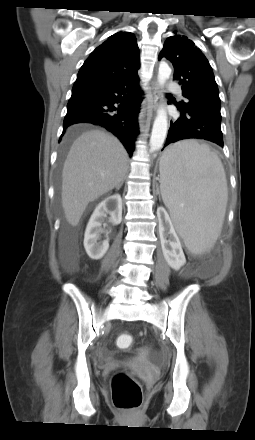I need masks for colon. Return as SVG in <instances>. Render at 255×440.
<instances>
[{
	"mask_svg": "<svg viewBox=\"0 0 255 440\" xmlns=\"http://www.w3.org/2000/svg\"><path fill=\"white\" fill-rule=\"evenodd\" d=\"M117 346L128 349L133 346V337L128 333L117 336ZM112 400L118 409L135 411L142 404V389L140 384L125 372L116 373L111 382Z\"/></svg>",
	"mask_w": 255,
	"mask_h": 440,
	"instance_id": "5ec220e1",
	"label": "colon"
}]
</instances>
